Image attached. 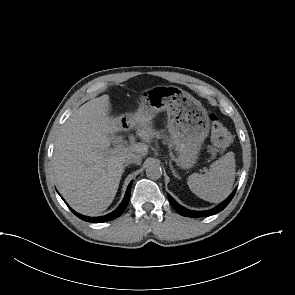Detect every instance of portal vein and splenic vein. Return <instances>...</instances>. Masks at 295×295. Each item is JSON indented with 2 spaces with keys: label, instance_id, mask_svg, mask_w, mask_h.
<instances>
[{
  "label": "portal vein and splenic vein",
  "instance_id": "18ae733b",
  "mask_svg": "<svg viewBox=\"0 0 295 295\" xmlns=\"http://www.w3.org/2000/svg\"><path fill=\"white\" fill-rule=\"evenodd\" d=\"M138 148V144L132 143L130 146H125L123 144L117 146L116 148L110 149L109 153H123L128 151H135Z\"/></svg>",
  "mask_w": 295,
  "mask_h": 295
}]
</instances>
